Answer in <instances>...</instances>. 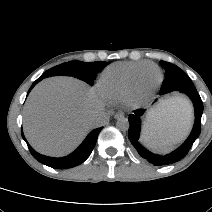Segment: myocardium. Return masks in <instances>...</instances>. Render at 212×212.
<instances>
[{
	"instance_id": "f54148a6",
	"label": "myocardium",
	"mask_w": 212,
	"mask_h": 212,
	"mask_svg": "<svg viewBox=\"0 0 212 212\" xmlns=\"http://www.w3.org/2000/svg\"><path fill=\"white\" fill-rule=\"evenodd\" d=\"M151 68H154L156 70L157 80H156V83L153 86H151L149 88H145L142 85V80H141L142 75L144 74V72L147 69H151ZM161 80H162V73H161V70L158 68L157 65L153 64L150 67L141 68L134 75L132 86H131V89H130L128 95H127L126 102L133 107H138V106L143 105L144 103H146L151 98L154 91L156 90V88L160 84Z\"/></svg>"
}]
</instances>
